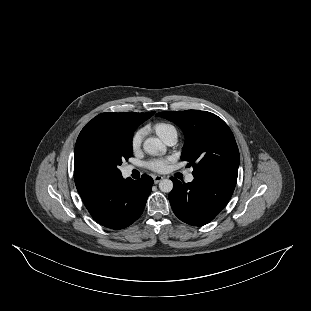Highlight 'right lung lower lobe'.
I'll return each instance as SVG.
<instances>
[{"label": "right lung lower lobe", "mask_w": 311, "mask_h": 311, "mask_svg": "<svg viewBox=\"0 0 311 311\" xmlns=\"http://www.w3.org/2000/svg\"><path fill=\"white\" fill-rule=\"evenodd\" d=\"M153 179L144 174L133 181L121 176L97 181L79 192L92 217L110 229H123L142 214Z\"/></svg>", "instance_id": "1"}]
</instances>
